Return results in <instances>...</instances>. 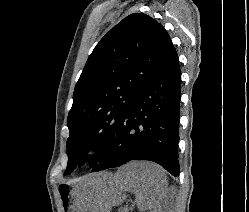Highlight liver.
<instances>
[{
	"label": "liver",
	"instance_id": "obj_1",
	"mask_svg": "<svg viewBox=\"0 0 249 212\" xmlns=\"http://www.w3.org/2000/svg\"><path fill=\"white\" fill-rule=\"evenodd\" d=\"M104 208L111 212L112 206H120L126 192L135 194V202L140 212L159 206L166 188V174L158 164L152 162H129L118 168L116 174H99Z\"/></svg>",
	"mask_w": 249,
	"mask_h": 212
}]
</instances>
